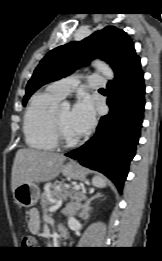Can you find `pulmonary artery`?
<instances>
[{"label":"pulmonary artery","mask_w":162,"mask_h":261,"mask_svg":"<svg viewBox=\"0 0 162 261\" xmlns=\"http://www.w3.org/2000/svg\"><path fill=\"white\" fill-rule=\"evenodd\" d=\"M79 83L77 76H70L50 83L47 89L59 98H64L78 87ZM88 86L91 89H103L106 81L101 75H91L88 77Z\"/></svg>","instance_id":"pulmonary-artery-1"}]
</instances>
